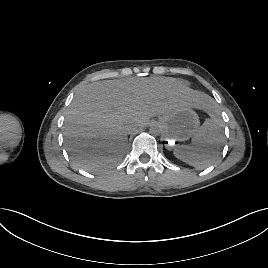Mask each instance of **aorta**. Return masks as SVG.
Here are the masks:
<instances>
[{
    "instance_id": "1",
    "label": "aorta",
    "mask_w": 268,
    "mask_h": 268,
    "mask_svg": "<svg viewBox=\"0 0 268 268\" xmlns=\"http://www.w3.org/2000/svg\"><path fill=\"white\" fill-rule=\"evenodd\" d=\"M149 132L153 135H158L162 132V126L159 123H153L150 125Z\"/></svg>"
}]
</instances>
